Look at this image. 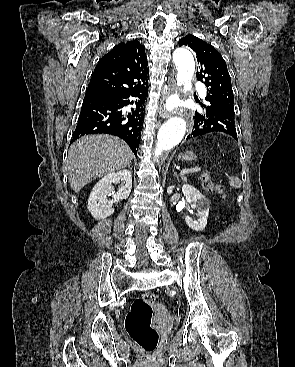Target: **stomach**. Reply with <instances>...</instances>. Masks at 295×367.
Returning a JSON list of instances; mask_svg holds the SVG:
<instances>
[{
  "instance_id": "0dacf381",
  "label": "stomach",
  "mask_w": 295,
  "mask_h": 367,
  "mask_svg": "<svg viewBox=\"0 0 295 367\" xmlns=\"http://www.w3.org/2000/svg\"><path fill=\"white\" fill-rule=\"evenodd\" d=\"M195 154L191 151H186L184 153H180L179 156H178V159H181V160H185V161H190V160H193L195 159Z\"/></svg>"
}]
</instances>
